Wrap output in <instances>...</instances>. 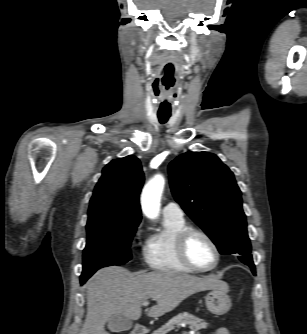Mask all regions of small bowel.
<instances>
[{
	"mask_svg": "<svg viewBox=\"0 0 307 334\" xmlns=\"http://www.w3.org/2000/svg\"><path fill=\"white\" fill-rule=\"evenodd\" d=\"M209 334H230L229 330L225 327H220L216 329L215 331L209 333Z\"/></svg>",
	"mask_w": 307,
	"mask_h": 334,
	"instance_id": "obj_1",
	"label": "small bowel"
}]
</instances>
